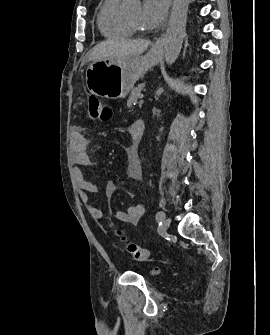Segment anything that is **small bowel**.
<instances>
[{"label": "small bowel", "instance_id": "small-bowel-1", "mask_svg": "<svg viewBox=\"0 0 270 335\" xmlns=\"http://www.w3.org/2000/svg\"><path fill=\"white\" fill-rule=\"evenodd\" d=\"M135 124V123H134ZM134 124L130 126V133L133 137L130 146L127 148L128 176L131 179L140 180L143 177L141 162L138 154L139 143L133 135ZM88 140L83 135L79 126L72 127L70 136L71 160L76 165L73 174L76 184L80 190L81 201L86 205L91 217L101 222L103 220V212L100 208L94 206L90 202V194L98 193V187L86 179L81 167L93 166L88 152ZM117 190L116 184L112 180H107L105 184V193L108 198L112 197ZM145 213L143 204H134L129 206L125 211H118L115 219L118 222L136 224L140 221Z\"/></svg>", "mask_w": 270, "mask_h": 335}]
</instances>
